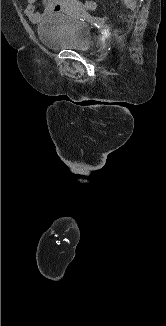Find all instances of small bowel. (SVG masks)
Segmentation results:
<instances>
[{
	"instance_id": "1",
	"label": "small bowel",
	"mask_w": 166,
	"mask_h": 326,
	"mask_svg": "<svg viewBox=\"0 0 166 326\" xmlns=\"http://www.w3.org/2000/svg\"><path fill=\"white\" fill-rule=\"evenodd\" d=\"M25 15L33 22H38L43 16L57 11H69L71 9V0H43V9L37 11L36 3L38 0H26Z\"/></svg>"
}]
</instances>
